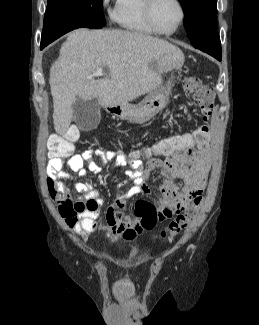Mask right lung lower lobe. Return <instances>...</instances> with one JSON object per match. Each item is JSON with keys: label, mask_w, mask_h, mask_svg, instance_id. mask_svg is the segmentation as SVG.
Returning <instances> with one entry per match:
<instances>
[{"label": "right lung lower lobe", "mask_w": 259, "mask_h": 325, "mask_svg": "<svg viewBox=\"0 0 259 325\" xmlns=\"http://www.w3.org/2000/svg\"><path fill=\"white\" fill-rule=\"evenodd\" d=\"M45 46H47L46 44H41L40 48L43 49Z\"/></svg>", "instance_id": "98d812e1"}]
</instances>
